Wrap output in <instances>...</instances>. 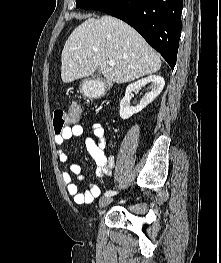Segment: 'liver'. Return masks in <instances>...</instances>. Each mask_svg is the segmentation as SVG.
I'll return each mask as SVG.
<instances>
[{
    "label": "liver",
    "instance_id": "6515ba94",
    "mask_svg": "<svg viewBox=\"0 0 221 263\" xmlns=\"http://www.w3.org/2000/svg\"><path fill=\"white\" fill-rule=\"evenodd\" d=\"M109 60L115 65L110 66ZM61 63L64 83L88 77L97 69L106 79L127 83L161 67L158 54L136 30L107 15L88 18L73 30L62 50Z\"/></svg>",
    "mask_w": 221,
    "mask_h": 263
}]
</instances>
